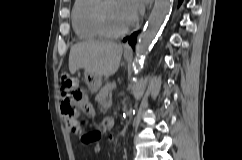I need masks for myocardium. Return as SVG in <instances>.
<instances>
[{
  "label": "myocardium",
  "mask_w": 242,
  "mask_h": 160,
  "mask_svg": "<svg viewBox=\"0 0 242 160\" xmlns=\"http://www.w3.org/2000/svg\"><path fill=\"white\" fill-rule=\"evenodd\" d=\"M107 0H98L93 10V21L99 33L108 39H119L131 30V24L119 32H111L107 29L103 19V7Z\"/></svg>",
  "instance_id": "1"
}]
</instances>
